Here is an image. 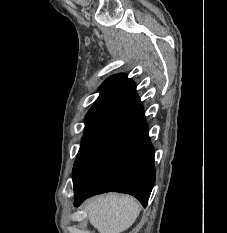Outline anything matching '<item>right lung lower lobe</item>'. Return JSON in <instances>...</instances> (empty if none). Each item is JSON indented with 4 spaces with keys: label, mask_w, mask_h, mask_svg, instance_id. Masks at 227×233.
<instances>
[{
    "label": "right lung lower lobe",
    "mask_w": 227,
    "mask_h": 233,
    "mask_svg": "<svg viewBox=\"0 0 227 233\" xmlns=\"http://www.w3.org/2000/svg\"><path fill=\"white\" fill-rule=\"evenodd\" d=\"M155 183L154 147L143 123L116 139L74 187V205L104 192L135 196L145 207Z\"/></svg>",
    "instance_id": "obj_1"
}]
</instances>
